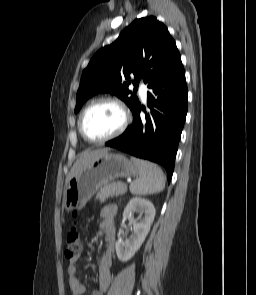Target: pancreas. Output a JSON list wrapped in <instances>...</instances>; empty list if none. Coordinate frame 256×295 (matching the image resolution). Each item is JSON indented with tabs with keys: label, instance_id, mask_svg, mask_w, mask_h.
Listing matches in <instances>:
<instances>
[{
	"label": "pancreas",
	"instance_id": "cf45deb5",
	"mask_svg": "<svg viewBox=\"0 0 256 295\" xmlns=\"http://www.w3.org/2000/svg\"><path fill=\"white\" fill-rule=\"evenodd\" d=\"M126 192L127 185L125 183L114 182L101 187L96 195V199H99L100 202H105L110 197L112 198L114 196L123 195Z\"/></svg>",
	"mask_w": 256,
	"mask_h": 295
}]
</instances>
